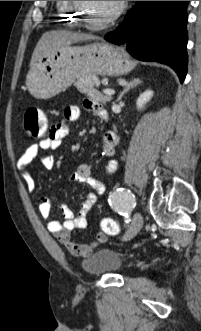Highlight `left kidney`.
Segmentation results:
<instances>
[{"label": "left kidney", "mask_w": 201, "mask_h": 331, "mask_svg": "<svg viewBox=\"0 0 201 331\" xmlns=\"http://www.w3.org/2000/svg\"><path fill=\"white\" fill-rule=\"evenodd\" d=\"M153 96V91L147 90L142 93L136 101L137 109L142 110L146 103L150 101Z\"/></svg>", "instance_id": "1"}]
</instances>
